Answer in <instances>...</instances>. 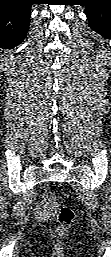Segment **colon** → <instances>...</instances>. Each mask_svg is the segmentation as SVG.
I'll return each mask as SVG.
<instances>
[{
    "label": "colon",
    "mask_w": 111,
    "mask_h": 257,
    "mask_svg": "<svg viewBox=\"0 0 111 257\" xmlns=\"http://www.w3.org/2000/svg\"><path fill=\"white\" fill-rule=\"evenodd\" d=\"M42 198L44 205L51 210L57 218L58 227L53 232V237L59 239L72 227L75 214L69 207L57 205L55 195L51 191H45Z\"/></svg>",
    "instance_id": "obj_1"
}]
</instances>
